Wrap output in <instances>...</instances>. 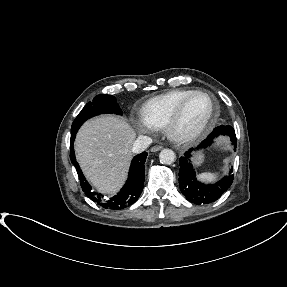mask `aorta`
Wrapping results in <instances>:
<instances>
[{
	"label": "aorta",
	"instance_id": "1",
	"mask_svg": "<svg viewBox=\"0 0 287 287\" xmlns=\"http://www.w3.org/2000/svg\"><path fill=\"white\" fill-rule=\"evenodd\" d=\"M159 159L162 164L169 165L175 161L176 155L171 149H163L159 154Z\"/></svg>",
	"mask_w": 287,
	"mask_h": 287
}]
</instances>
